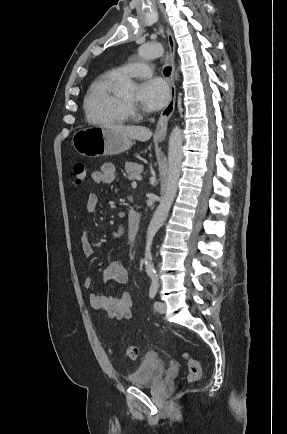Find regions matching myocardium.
I'll return each instance as SVG.
<instances>
[{"label": "myocardium", "mask_w": 287, "mask_h": 434, "mask_svg": "<svg viewBox=\"0 0 287 434\" xmlns=\"http://www.w3.org/2000/svg\"><path fill=\"white\" fill-rule=\"evenodd\" d=\"M124 102L126 103V105L129 107L130 105H131V101L130 100H127V99H124Z\"/></svg>", "instance_id": "myocardium-1"}]
</instances>
